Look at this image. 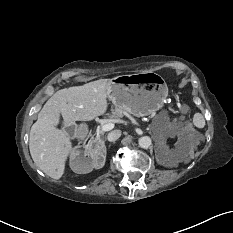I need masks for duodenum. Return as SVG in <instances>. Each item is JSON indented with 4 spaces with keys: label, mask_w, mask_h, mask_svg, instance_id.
<instances>
[{
    "label": "duodenum",
    "mask_w": 233,
    "mask_h": 233,
    "mask_svg": "<svg viewBox=\"0 0 233 233\" xmlns=\"http://www.w3.org/2000/svg\"><path fill=\"white\" fill-rule=\"evenodd\" d=\"M80 135L81 136H85L86 135V131L85 130H81Z\"/></svg>",
    "instance_id": "duodenum-1"
}]
</instances>
